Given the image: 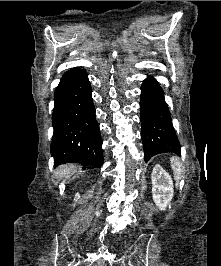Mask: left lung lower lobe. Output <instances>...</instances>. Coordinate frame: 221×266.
Masks as SVG:
<instances>
[{
  "instance_id": "0a47b994",
  "label": "left lung lower lobe",
  "mask_w": 221,
  "mask_h": 266,
  "mask_svg": "<svg viewBox=\"0 0 221 266\" xmlns=\"http://www.w3.org/2000/svg\"><path fill=\"white\" fill-rule=\"evenodd\" d=\"M141 124L145 162L166 152L181 154L170 111L159 83L151 76L141 86Z\"/></svg>"
}]
</instances>
